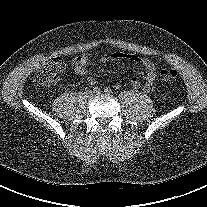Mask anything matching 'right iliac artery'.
I'll return each instance as SVG.
<instances>
[{
  "label": "right iliac artery",
  "mask_w": 207,
  "mask_h": 207,
  "mask_svg": "<svg viewBox=\"0 0 207 207\" xmlns=\"http://www.w3.org/2000/svg\"><path fill=\"white\" fill-rule=\"evenodd\" d=\"M93 92L94 93H100V88L99 87H94Z\"/></svg>",
  "instance_id": "right-iliac-artery-1"
}]
</instances>
